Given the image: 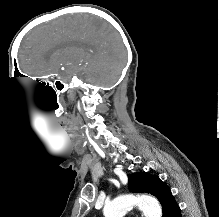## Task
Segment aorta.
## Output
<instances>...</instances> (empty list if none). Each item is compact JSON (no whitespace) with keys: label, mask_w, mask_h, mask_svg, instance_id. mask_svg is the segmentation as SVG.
Instances as JSON below:
<instances>
[{"label":"aorta","mask_w":219,"mask_h":217,"mask_svg":"<svg viewBox=\"0 0 219 217\" xmlns=\"http://www.w3.org/2000/svg\"><path fill=\"white\" fill-rule=\"evenodd\" d=\"M133 206H137L145 217H162V209L159 202L148 196L119 197L104 206L105 217H123Z\"/></svg>","instance_id":"aorta-1"}]
</instances>
